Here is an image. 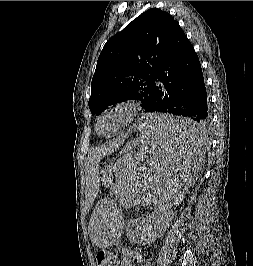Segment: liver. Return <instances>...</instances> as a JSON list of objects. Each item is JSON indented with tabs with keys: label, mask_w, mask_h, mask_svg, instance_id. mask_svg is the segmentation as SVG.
<instances>
[{
	"label": "liver",
	"mask_w": 253,
	"mask_h": 266,
	"mask_svg": "<svg viewBox=\"0 0 253 266\" xmlns=\"http://www.w3.org/2000/svg\"><path fill=\"white\" fill-rule=\"evenodd\" d=\"M124 142V138L122 139H117L115 141H112L104 146L96 148L92 153L89 154L87 161H86V167L87 170H97L98 168V163L100 160L107 156L110 155L113 151L117 150L119 146ZM177 190H180L179 188ZM93 215V214H92ZM92 238V235H90ZM94 243V242H93Z\"/></svg>",
	"instance_id": "liver-1"
}]
</instances>
